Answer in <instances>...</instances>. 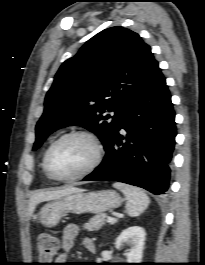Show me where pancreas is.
Returning <instances> with one entry per match:
<instances>
[{"instance_id":"cf45deb5","label":"pancreas","mask_w":205,"mask_h":265,"mask_svg":"<svg viewBox=\"0 0 205 265\" xmlns=\"http://www.w3.org/2000/svg\"><path fill=\"white\" fill-rule=\"evenodd\" d=\"M108 218L107 214L102 213L92 217L88 223L83 225L84 229L88 231L99 230L104 224L105 220Z\"/></svg>"}]
</instances>
